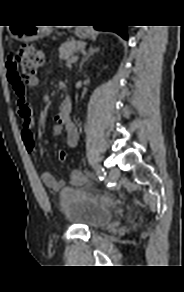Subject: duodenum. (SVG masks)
<instances>
[{"mask_svg": "<svg viewBox=\"0 0 184 292\" xmlns=\"http://www.w3.org/2000/svg\"><path fill=\"white\" fill-rule=\"evenodd\" d=\"M71 105H72V101H71V98L69 97H66L62 100L60 106H59V111L61 113H66L70 110L71 108Z\"/></svg>", "mask_w": 184, "mask_h": 292, "instance_id": "1", "label": "duodenum"}]
</instances>
